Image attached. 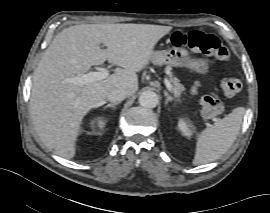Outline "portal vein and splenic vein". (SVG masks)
Segmentation results:
<instances>
[{
    "label": "portal vein and splenic vein",
    "instance_id": "portal-vein-and-splenic-vein-1",
    "mask_svg": "<svg viewBox=\"0 0 270 213\" xmlns=\"http://www.w3.org/2000/svg\"><path fill=\"white\" fill-rule=\"evenodd\" d=\"M108 75H109V71L107 69H103L102 71H99V72H89V73L82 74L79 76L70 77V78H67L65 81L67 83H74V84L83 86L89 82L103 80L106 77H108ZM164 83L167 89L169 90V92H172V85L167 78L164 79Z\"/></svg>",
    "mask_w": 270,
    "mask_h": 213
}]
</instances>
